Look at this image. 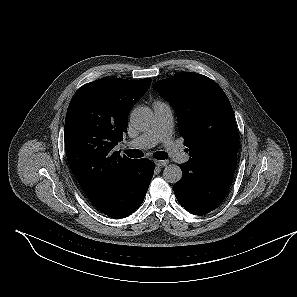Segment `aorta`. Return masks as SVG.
<instances>
[{
    "label": "aorta",
    "mask_w": 297,
    "mask_h": 297,
    "mask_svg": "<svg viewBox=\"0 0 297 297\" xmlns=\"http://www.w3.org/2000/svg\"><path fill=\"white\" fill-rule=\"evenodd\" d=\"M132 126L138 130H145L153 123V114L147 107H136L130 114ZM164 179L169 183H177L182 178V170L176 164H170L163 171Z\"/></svg>",
    "instance_id": "aorta-1"
}]
</instances>
